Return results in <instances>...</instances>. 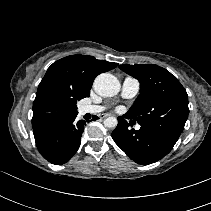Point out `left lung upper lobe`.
Segmentation results:
<instances>
[{"label":"left lung upper lobe","mask_w":211,"mask_h":211,"mask_svg":"<svg viewBox=\"0 0 211 211\" xmlns=\"http://www.w3.org/2000/svg\"><path fill=\"white\" fill-rule=\"evenodd\" d=\"M119 67L140 82V95L126 113L128 118L177 142L189 114L188 95L181 83L154 64Z\"/></svg>","instance_id":"5c2ea615"}]
</instances>
